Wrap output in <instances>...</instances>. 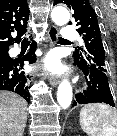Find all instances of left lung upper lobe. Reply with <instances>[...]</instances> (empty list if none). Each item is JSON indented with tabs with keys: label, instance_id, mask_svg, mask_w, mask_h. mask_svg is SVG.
I'll list each match as a JSON object with an SVG mask.
<instances>
[{
	"label": "left lung upper lobe",
	"instance_id": "5c2ea615",
	"mask_svg": "<svg viewBox=\"0 0 117 136\" xmlns=\"http://www.w3.org/2000/svg\"><path fill=\"white\" fill-rule=\"evenodd\" d=\"M63 3L73 10L80 35L83 36L84 46L75 50L73 57L107 73L105 66V50L103 47L97 15L88 0H54V5ZM71 23V22H70ZM80 50V51H79Z\"/></svg>",
	"mask_w": 117,
	"mask_h": 136
}]
</instances>
